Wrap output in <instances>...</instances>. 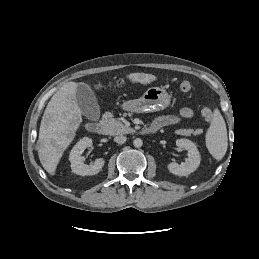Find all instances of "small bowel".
I'll return each instance as SVG.
<instances>
[{
	"label": "small bowel",
	"instance_id": "1",
	"mask_svg": "<svg viewBox=\"0 0 259 259\" xmlns=\"http://www.w3.org/2000/svg\"><path fill=\"white\" fill-rule=\"evenodd\" d=\"M193 114V111L189 107L182 108L178 114L164 115L153 121L152 125L158 129L177 123L182 118H189Z\"/></svg>",
	"mask_w": 259,
	"mask_h": 259
}]
</instances>
